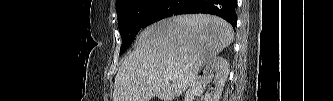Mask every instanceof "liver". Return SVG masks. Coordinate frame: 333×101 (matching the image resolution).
<instances>
[{
	"label": "liver",
	"instance_id": "1",
	"mask_svg": "<svg viewBox=\"0 0 333 101\" xmlns=\"http://www.w3.org/2000/svg\"><path fill=\"white\" fill-rule=\"evenodd\" d=\"M234 38L224 19L173 16L145 28L115 77L113 101H173ZM172 74V79L168 75Z\"/></svg>",
	"mask_w": 333,
	"mask_h": 101
}]
</instances>
